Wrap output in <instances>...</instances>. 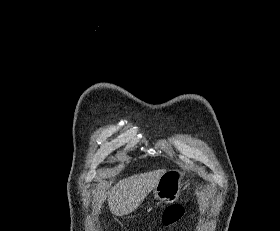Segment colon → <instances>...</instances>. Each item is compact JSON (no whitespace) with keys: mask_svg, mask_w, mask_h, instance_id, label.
<instances>
[{"mask_svg":"<svg viewBox=\"0 0 280 231\" xmlns=\"http://www.w3.org/2000/svg\"><path fill=\"white\" fill-rule=\"evenodd\" d=\"M186 208H166V211L163 212V224L164 225H171V220H176L177 216H180L181 213H186Z\"/></svg>","mask_w":280,"mask_h":231,"instance_id":"obj_1","label":"colon"}]
</instances>
